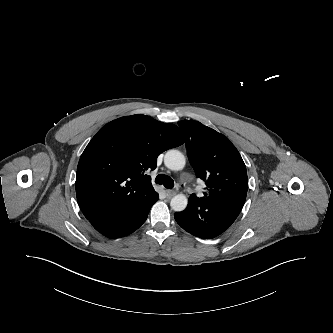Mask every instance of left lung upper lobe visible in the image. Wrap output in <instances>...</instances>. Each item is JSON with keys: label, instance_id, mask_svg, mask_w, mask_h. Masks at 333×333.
I'll return each mask as SVG.
<instances>
[{"label": "left lung upper lobe", "instance_id": "obj_1", "mask_svg": "<svg viewBox=\"0 0 333 333\" xmlns=\"http://www.w3.org/2000/svg\"><path fill=\"white\" fill-rule=\"evenodd\" d=\"M178 125L197 177L206 181L204 196L228 188L247 191L246 166L227 137L197 121L183 120Z\"/></svg>", "mask_w": 333, "mask_h": 333}]
</instances>
